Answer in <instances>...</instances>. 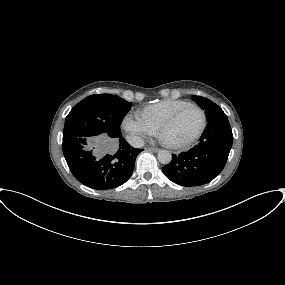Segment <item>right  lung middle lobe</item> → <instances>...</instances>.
<instances>
[{
  "label": "right lung middle lobe",
  "mask_w": 285,
  "mask_h": 285,
  "mask_svg": "<svg viewBox=\"0 0 285 285\" xmlns=\"http://www.w3.org/2000/svg\"><path fill=\"white\" fill-rule=\"evenodd\" d=\"M131 106V102L115 95L86 97L67 115L63 142H73L79 137L97 141L121 137L120 125Z\"/></svg>",
  "instance_id": "dd1d6c3e"
}]
</instances>
